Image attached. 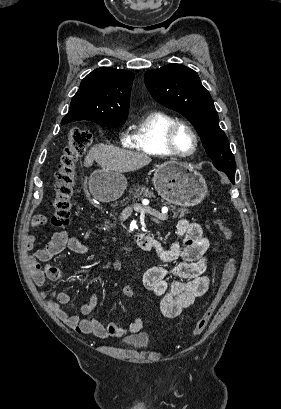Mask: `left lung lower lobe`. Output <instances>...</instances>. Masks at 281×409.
Here are the masks:
<instances>
[{
    "label": "left lung lower lobe",
    "instance_id": "left-lung-lower-lobe-1",
    "mask_svg": "<svg viewBox=\"0 0 281 409\" xmlns=\"http://www.w3.org/2000/svg\"><path fill=\"white\" fill-rule=\"evenodd\" d=\"M223 172L227 174L230 181L234 184L235 183V172L226 171V170H223Z\"/></svg>",
    "mask_w": 281,
    "mask_h": 409
}]
</instances>
